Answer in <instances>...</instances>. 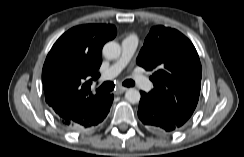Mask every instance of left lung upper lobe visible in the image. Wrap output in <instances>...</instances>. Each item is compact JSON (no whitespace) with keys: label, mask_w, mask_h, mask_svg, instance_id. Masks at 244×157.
Wrapping results in <instances>:
<instances>
[{"label":"left lung upper lobe","mask_w":244,"mask_h":157,"mask_svg":"<svg viewBox=\"0 0 244 157\" xmlns=\"http://www.w3.org/2000/svg\"><path fill=\"white\" fill-rule=\"evenodd\" d=\"M136 61L154 70L150 93L184 124L196 108L201 88L202 67L191 41L176 29L153 27Z\"/></svg>","instance_id":"1"}]
</instances>
